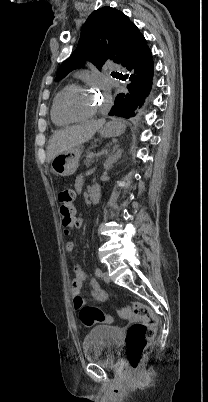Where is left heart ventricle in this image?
Masks as SVG:
<instances>
[{"label":"left heart ventricle","mask_w":208,"mask_h":402,"mask_svg":"<svg viewBox=\"0 0 208 402\" xmlns=\"http://www.w3.org/2000/svg\"><path fill=\"white\" fill-rule=\"evenodd\" d=\"M100 100L101 98L88 93L85 89L72 93L68 98V105L75 112L86 113L97 106Z\"/></svg>","instance_id":"1"}]
</instances>
